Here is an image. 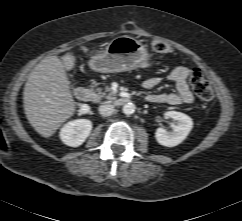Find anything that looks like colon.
<instances>
[{
  "mask_svg": "<svg viewBox=\"0 0 242 221\" xmlns=\"http://www.w3.org/2000/svg\"><path fill=\"white\" fill-rule=\"evenodd\" d=\"M150 48L157 53H170L173 50L171 46L161 41H153L150 44ZM71 64L72 57L68 55L63 59V65L68 68ZM189 81L194 93L201 101L209 103L214 99L213 88L199 69L191 71Z\"/></svg>",
  "mask_w": 242,
  "mask_h": 221,
  "instance_id": "1",
  "label": "colon"
}]
</instances>
